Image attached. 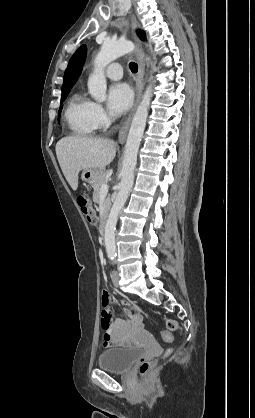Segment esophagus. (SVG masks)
<instances>
[{
	"instance_id": "esophagus-1",
	"label": "esophagus",
	"mask_w": 255,
	"mask_h": 418,
	"mask_svg": "<svg viewBox=\"0 0 255 418\" xmlns=\"http://www.w3.org/2000/svg\"><path fill=\"white\" fill-rule=\"evenodd\" d=\"M131 27H132V32L134 34V31L137 27V21L134 17H132L131 19ZM134 39L137 42L138 46L141 47V43L140 41L137 39V37L134 34ZM137 61H138V73L136 76V99H135V104L134 107L132 109V111L130 112L129 116L127 117V119L125 120L124 124L122 125L120 131H119V135H118V141L119 143H124L126 140V136H127V132L132 120V117L137 109V106L140 102L141 99V95L143 92V88H144V60L143 57L138 54L137 55Z\"/></svg>"
}]
</instances>
